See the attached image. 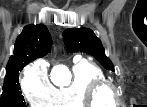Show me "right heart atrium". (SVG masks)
<instances>
[{
    "instance_id": "obj_1",
    "label": "right heart atrium",
    "mask_w": 147,
    "mask_h": 107,
    "mask_svg": "<svg viewBox=\"0 0 147 107\" xmlns=\"http://www.w3.org/2000/svg\"><path fill=\"white\" fill-rule=\"evenodd\" d=\"M21 86L30 105H46L54 95V88L49 81L47 69L42 64L35 63L29 66Z\"/></svg>"
}]
</instances>
